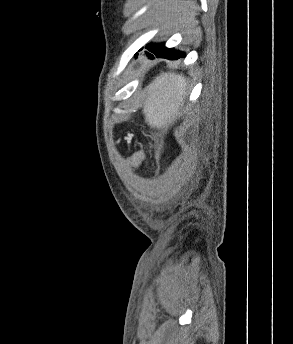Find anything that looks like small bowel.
<instances>
[{
  "label": "small bowel",
  "instance_id": "1",
  "mask_svg": "<svg viewBox=\"0 0 293 344\" xmlns=\"http://www.w3.org/2000/svg\"><path fill=\"white\" fill-rule=\"evenodd\" d=\"M144 159H145V156H144L143 154H139V155H137V156L135 157V162H134V164H135V165H139V164H141V163L144 161Z\"/></svg>",
  "mask_w": 293,
  "mask_h": 344
}]
</instances>
